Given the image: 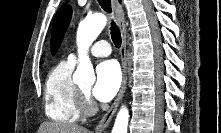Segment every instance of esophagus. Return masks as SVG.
I'll list each match as a JSON object with an SVG mask.
<instances>
[{
  "mask_svg": "<svg viewBox=\"0 0 221 133\" xmlns=\"http://www.w3.org/2000/svg\"><path fill=\"white\" fill-rule=\"evenodd\" d=\"M112 6L116 14L117 23L121 31V37H122V44L120 48V58H121V66H122V83H121V87H120V90L118 92V95L115 101L113 102L109 110L105 113L103 118L100 120V122L96 126L95 128L96 133H102L111 122L123 98V95L126 89V83H127V58H126L127 40H126L125 15H124L122 5L119 3L118 0H112Z\"/></svg>",
  "mask_w": 221,
  "mask_h": 133,
  "instance_id": "obj_1",
  "label": "esophagus"
}]
</instances>
